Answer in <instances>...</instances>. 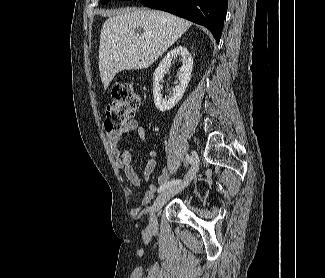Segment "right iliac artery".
Masks as SVG:
<instances>
[{"label": "right iliac artery", "instance_id": "1", "mask_svg": "<svg viewBox=\"0 0 325 278\" xmlns=\"http://www.w3.org/2000/svg\"><path fill=\"white\" fill-rule=\"evenodd\" d=\"M186 160L190 163V164H193L194 163V159L192 156H189V155H186ZM181 180L180 179H176V180H171L165 184H162L159 189H158V192H161L163 190H165L166 188L170 187V186H173V185H176L178 183H180Z\"/></svg>", "mask_w": 325, "mask_h": 278}]
</instances>
